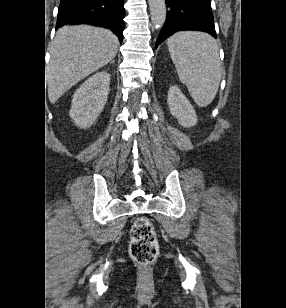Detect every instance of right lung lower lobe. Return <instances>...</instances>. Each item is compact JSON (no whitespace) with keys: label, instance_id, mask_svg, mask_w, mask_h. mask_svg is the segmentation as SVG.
I'll return each mask as SVG.
<instances>
[{"label":"right lung lower lobe","instance_id":"right-lung-lower-lobe-1","mask_svg":"<svg viewBox=\"0 0 286 308\" xmlns=\"http://www.w3.org/2000/svg\"><path fill=\"white\" fill-rule=\"evenodd\" d=\"M124 0H61L56 28L72 23H87L111 29L123 40Z\"/></svg>","mask_w":286,"mask_h":308}]
</instances>
